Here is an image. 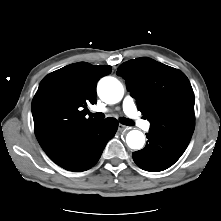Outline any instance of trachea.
<instances>
[{
  "label": "trachea",
  "instance_id": "1",
  "mask_svg": "<svg viewBox=\"0 0 221 221\" xmlns=\"http://www.w3.org/2000/svg\"><path fill=\"white\" fill-rule=\"evenodd\" d=\"M90 115L94 116L96 119H104L105 118V115L101 112H98V113H95V114L91 113ZM119 121L123 125H128V126H133L134 125V123L130 119L125 118V117L119 118Z\"/></svg>",
  "mask_w": 221,
  "mask_h": 221
}]
</instances>
